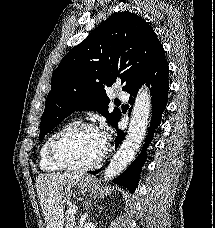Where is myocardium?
<instances>
[{
  "label": "myocardium",
  "instance_id": "myocardium-1",
  "mask_svg": "<svg viewBox=\"0 0 215 228\" xmlns=\"http://www.w3.org/2000/svg\"><path fill=\"white\" fill-rule=\"evenodd\" d=\"M79 129H91L99 131L98 127L95 124L90 122L80 121L73 122L71 124L66 125L61 130H59L51 139L48 149H47V157L52 166L59 170H67V171H76V172H88L94 169L99 168L107 158L109 153V147L105 146L104 152L102 155L93 163L83 166L71 165L63 162L57 153L58 146L60 142L70 133L79 130Z\"/></svg>",
  "mask_w": 215,
  "mask_h": 228
}]
</instances>
